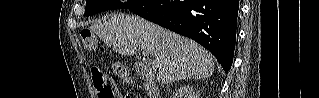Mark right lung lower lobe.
<instances>
[{
	"label": "right lung lower lobe",
	"mask_w": 319,
	"mask_h": 98,
	"mask_svg": "<svg viewBox=\"0 0 319 98\" xmlns=\"http://www.w3.org/2000/svg\"><path fill=\"white\" fill-rule=\"evenodd\" d=\"M239 0H151L130 11L207 48L228 72L233 62Z\"/></svg>",
	"instance_id": "right-lung-lower-lobe-1"
}]
</instances>
